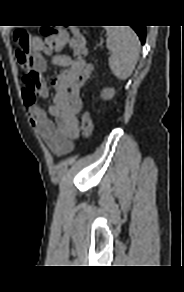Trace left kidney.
Wrapping results in <instances>:
<instances>
[{
    "instance_id": "1",
    "label": "left kidney",
    "mask_w": 184,
    "mask_h": 292,
    "mask_svg": "<svg viewBox=\"0 0 184 292\" xmlns=\"http://www.w3.org/2000/svg\"><path fill=\"white\" fill-rule=\"evenodd\" d=\"M114 95H115V90L113 88H105L101 92V97L104 100L112 99Z\"/></svg>"
}]
</instances>
